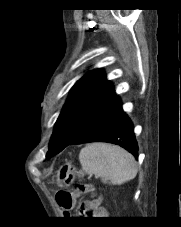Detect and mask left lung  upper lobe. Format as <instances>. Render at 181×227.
<instances>
[{
    "mask_svg": "<svg viewBox=\"0 0 181 227\" xmlns=\"http://www.w3.org/2000/svg\"><path fill=\"white\" fill-rule=\"evenodd\" d=\"M114 93L112 84L101 69L81 78L55 124L47 157H52L68 146L83 130L92 114Z\"/></svg>",
    "mask_w": 181,
    "mask_h": 227,
    "instance_id": "obj_1",
    "label": "left lung upper lobe"
}]
</instances>
